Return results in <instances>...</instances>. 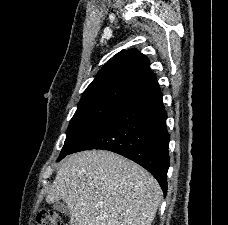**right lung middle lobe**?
Returning a JSON list of instances; mask_svg holds the SVG:
<instances>
[{
  "instance_id": "obj_1",
  "label": "right lung middle lobe",
  "mask_w": 228,
  "mask_h": 225,
  "mask_svg": "<svg viewBox=\"0 0 228 225\" xmlns=\"http://www.w3.org/2000/svg\"><path fill=\"white\" fill-rule=\"evenodd\" d=\"M141 89L109 83L86 89L70 121L67 137L57 161H60L95 126L109 117Z\"/></svg>"
}]
</instances>
